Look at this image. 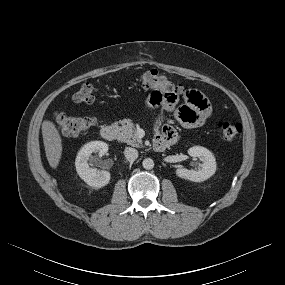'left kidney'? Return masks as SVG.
I'll use <instances>...</instances> for the list:
<instances>
[{
	"label": "left kidney",
	"instance_id": "left-kidney-1",
	"mask_svg": "<svg viewBox=\"0 0 285 285\" xmlns=\"http://www.w3.org/2000/svg\"><path fill=\"white\" fill-rule=\"evenodd\" d=\"M188 154L192 157H198L202 162L201 169L198 171L187 170L185 168H177L178 177L193 182H202L214 175L216 171V160L214 155L208 149L201 146H194L188 150Z\"/></svg>",
	"mask_w": 285,
	"mask_h": 285
}]
</instances>
